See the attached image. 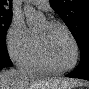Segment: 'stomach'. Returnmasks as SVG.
I'll return each instance as SVG.
<instances>
[{
	"label": "stomach",
	"mask_w": 89,
	"mask_h": 89,
	"mask_svg": "<svg viewBox=\"0 0 89 89\" xmlns=\"http://www.w3.org/2000/svg\"><path fill=\"white\" fill-rule=\"evenodd\" d=\"M56 89H70V88H68V87H58V88H56Z\"/></svg>",
	"instance_id": "1"
}]
</instances>
